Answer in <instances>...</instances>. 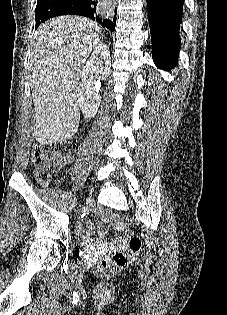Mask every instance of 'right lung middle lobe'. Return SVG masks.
<instances>
[{
  "label": "right lung middle lobe",
  "mask_w": 227,
  "mask_h": 315,
  "mask_svg": "<svg viewBox=\"0 0 227 315\" xmlns=\"http://www.w3.org/2000/svg\"><path fill=\"white\" fill-rule=\"evenodd\" d=\"M67 0H38L35 10V29L46 20L52 18V14Z\"/></svg>",
  "instance_id": "dd1d6c3e"
}]
</instances>
